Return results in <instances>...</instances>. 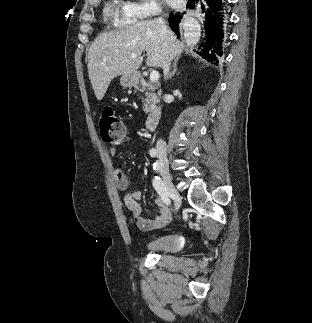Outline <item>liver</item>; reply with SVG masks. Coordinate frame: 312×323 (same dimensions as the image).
Listing matches in <instances>:
<instances>
[{"instance_id":"obj_1","label":"liver","mask_w":312,"mask_h":323,"mask_svg":"<svg viewBox=\"0 0 312 323\" xmlns=\"http://www.w3.org/2000/svg\"><path fill=\"white\" fill-rule=\"evenodd\" d=\"M183 50V42L173 32L172 36L163 34L154 20H140L122 30L100 34L88 52L89 80L97 100H103L113 78L138 70L143 52H147L149 68H163L167 60L180 58ZM131 54H136V58H131Z\"/></svg>"}]
</instances>
